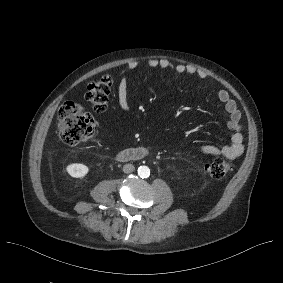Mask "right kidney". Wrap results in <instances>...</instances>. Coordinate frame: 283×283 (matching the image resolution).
Instances as JSON below:
<instances>
[{
	"instance_id": "obj_1",
	"label": "right kidney",
	"mask_w": 283,
	"mask_h": 283,
	"mask_svg": "<svg viewBox=\"0 0 283 283\" xmlns=\"http://www.w3.org/2000/svg\"><path fill=\"white\" fill-rule=\"evenodd\" d=\"M66 171L71 177L74 178H83L89 171V168L81 163L69 164L66 167Z\"/></svg>"
}]
</instances>
